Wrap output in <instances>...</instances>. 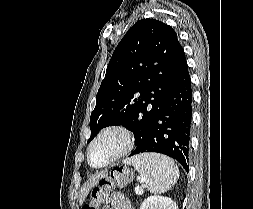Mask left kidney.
Listing matches in <instances>:
<instances>
[{
  "instance_id": "obj_1",
  "label": "left kidney",
  "mask_w": 253,
  "mask_h": 209,
  "mask_svg": "<svg viewBox=\"0 0 253 209\" xmlns=\"http://www.w3.org/2000/svg\"><path fill=\"white\" fill-rule=\"evenodd\" d=\"M140 209H178V207L171 198L150 196L141 204Z\"/></svg>"
}]
</instances>
